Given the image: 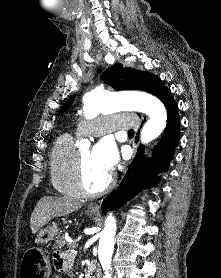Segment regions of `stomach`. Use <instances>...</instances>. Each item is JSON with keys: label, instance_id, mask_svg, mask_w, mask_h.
I'll list each match as a JSON object with an SVG mask.
<instances>
[{"label": "stomach", "instance_id": "1", "mask_svg": "<svg viewBox=\"0 0 221 278\" xmlns=\"http://www.w3.org/2000/svg\"><path fill=\"white\" fill-rule=\"evenodd\" d=\"M96 211L87 209L86 214L90 217L96 215ZM59 232V228L55 223L48 225L39 230L36 236V243L46 244L54 240ZM38 250V251H35ZM30 249L25 252L23 264L20 265L18 274L20 278H50L52 267H49L47 257L39 249Z\"/></svg>", "mask_w": 221, "mask_h": 278}]
</instances>
